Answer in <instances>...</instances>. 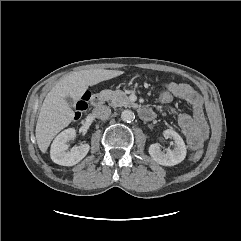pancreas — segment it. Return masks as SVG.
<instances>
[{
	"label": "pancreas",
	"mask_w": 241,
	"mask_h": 241,
	"mask_svg": "<svg viewBox=\"0 0 241 241\" xmlns=\"http://www.w3.org/2000/svg\"><path fill=\"white\" fill-rule=\"evenodd\" d=\"M101 96L109 105L114 107L125 106L129 107L132 105L129 97L121 90H103Z\"/></svg>",
	"instance_id": "cf45deb5"
}]
</instances>
